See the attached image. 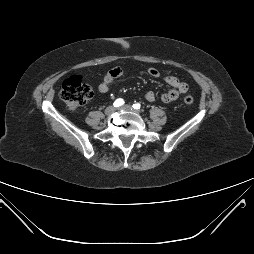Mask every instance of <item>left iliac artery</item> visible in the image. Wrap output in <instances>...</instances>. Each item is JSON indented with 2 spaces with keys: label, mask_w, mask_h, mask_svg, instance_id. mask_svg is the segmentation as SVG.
Here are the masks:
<instances>
[{
  "label": "left iliac artery",
  "mask_w": 254,
  "mask_h": 254,
  "mask_svg": "<svg viewBox=\"0 0 254 254\" xmlns=\"http://www.w3.org/2000/svg\"><path fill=\"white\" fill-rule=\"evenodd\" d=\"M140 107H141V105L139 103L133 104V108L136 110L140 109Z\"/></svg>",
  "instance_id": "1"
}]
</instances>
